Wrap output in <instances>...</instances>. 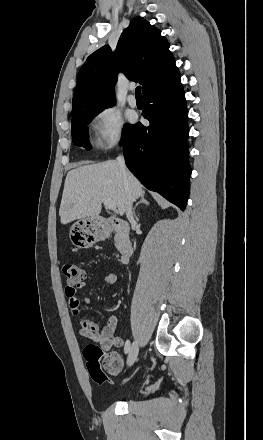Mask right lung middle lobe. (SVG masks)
I'll list each match as a JSON object with an SVG mask.
<instances>
[{
    "label": "right lung middle lobe",
    "instance_id": "right-lung-middle-lobe-1",
    "mask_svg": "<svg viewBox=\"0 0 263 440\" xmlns=\"http://www.w3.org/2000/svg\"><path fill=\"white\" fill-rule=\"evenodd\" d=\"M102 110H96L91 112H86L80 115L75 116L72 118V138L73 143L82 146L86 149H90L91 146L88 141V128L87 124L91 122V120ZM130 126V124H126L125 128L123 130V133L125 130Z\"/></svg>",
    "mask_w": 263,
    "mask_h": 440
}]
</instances>
